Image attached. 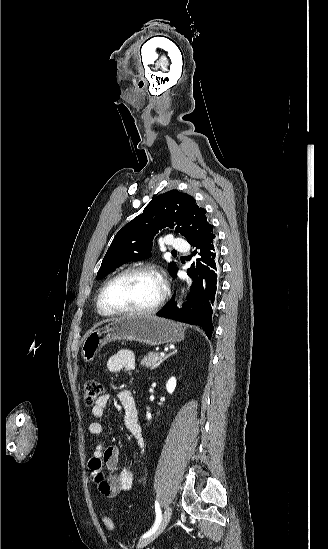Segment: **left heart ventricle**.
Wrapping results in <instances>:
<instances>
[{"label": "left heart ventricle", "instance_id": "b2bd125f", "mask_svg": "<svg viewBox=\"0 0 328 549\" xmlns=\"http://www.w3.org/2000/svg\"><path fill=\"white\" fill-rule=\"evenodd\" d=\"M162 290L160 280L153 274L136 270L124 274L107 290V305L116 311L149 307Z\"/></svg>", "mask_w": 328, "mask_h": 549}]
</instances>
